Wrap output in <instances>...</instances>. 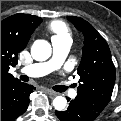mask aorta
I'll return each mask as SVG.
<instances>
[{
	"instance_id": "1",
	"label": "aorta",
	"mask_w": 121,
	"mask_h": 121,
	"mask_svg": "<svg viewBox=\"0 0 121 121\" xmlns=\"http://www.w3.org/2000/svg\"><path fill=\"white\" fill-rule=\"evenodd\" d=\"M52 48L46 40H36L31 47V55L36 61H45L51 56ZM67 105V100L63 96H57L53 100L56 110L62 111Z\"/></svg>"
}]
</instances>
